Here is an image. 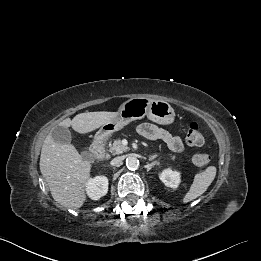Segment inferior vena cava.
<instances>
[{"label": "inferior vena cava", "instance_id": "obj_1", "mask_svg": "<svg viewBox=\"0 0 261 261\" xmlns=\"http://www.w3.org/2000/svg\"><path fill=\"white\" fill-rule=\"evenodd\" d=\"M122 160H123L122 157H116V158H114V159L111 160L110 164H111L112 166H120L121 163H122Z\"/></svg>", "mask_w": 261, "mask_h": 261}]
</instances>
